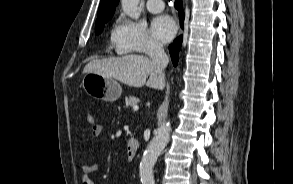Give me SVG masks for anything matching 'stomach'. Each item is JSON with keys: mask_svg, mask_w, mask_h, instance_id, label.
<instances>
[{"mask_svg": "<svg viewBox=\"0 0 293 184\" xmlns=\"http://www.w3.org/2000/svg\"><path fill=\"white\" fill-rule=\"evenodd\" d=\"M82 85L89 96L98 100L113 102L122 94L121 85L116 79L98 73H85Z\"/></svg>", "mask_w": 293, "mask_h": 184, "instance_id": "0dacf381", "label": "stomach"}]
</instances>
